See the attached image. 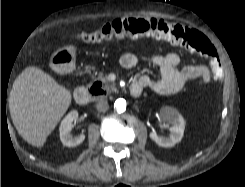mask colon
Segmentation results:
<instances>
[{
  "label": "colon",
  "mask_w": 245,
  "mask_h": 187,
  "mask_svg": "<svg viewBox=\"0 0 245 187\" xmlns=\"http://www.w3.org/2000/svg\"><path fill=\"white\" fill-rule=\"evenodd\" d=\"M153 36L191 49L204 56L216 74L221 75L216 48L200 31L188 25L155 18H119L91 32H79L75 38L88 44H102L125 38Z\"/></svg>",
  "instance_id": "1"
}]
</instances>
